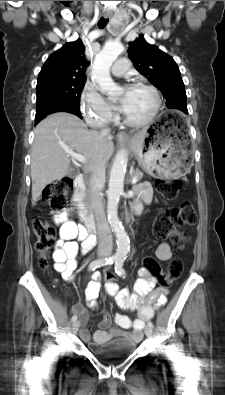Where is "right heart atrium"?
<instances>
[{
	"instance_id": "right-heart-atrium-1",
	"label": "right heart atrium",
	"mask_w": 225,
	"mask_h": 395,
	"mask_svg": "<svg viewBox=\"0 0 225 395\" xmlns=\"http://www.w3.org/2000/svg\"><path fill=\"white\" fill-rule=\"evenodd\" d=\"M81 110L85 120L91 125H107L114 119L110 106L91 84L85 85L82 91Z\"/></svg>"
}]
</instances>
